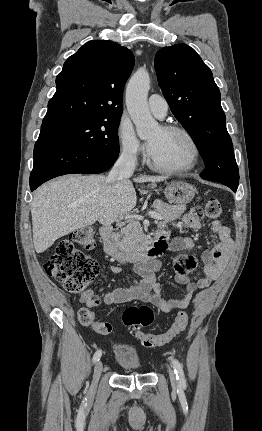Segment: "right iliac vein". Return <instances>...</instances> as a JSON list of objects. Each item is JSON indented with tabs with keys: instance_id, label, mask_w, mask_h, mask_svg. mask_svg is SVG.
Instances as JSON below:
<instances>
[{
	"instance_id": "63e3f726",
	"label": "right iliac vein",
	"mask_w": 262,
	"mask_h": 431,
	"mask_svg": "<svg viewBox=\"0 0 262 431\" xmlns=\"http://www.w3.org/2000/svg\"><path fill=\"white\" fill-rule=\"evenodd\" d=\"M102 368H103L102 362L101 361H97L96 364H95V367H94V374H93L94 385H97V383H98V380H99L100 375L102 373Z\"/></svg>"
}]
</instances>
